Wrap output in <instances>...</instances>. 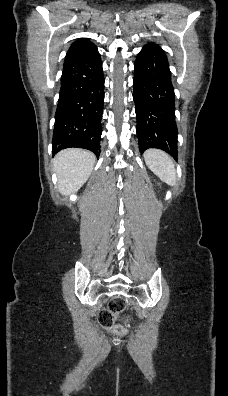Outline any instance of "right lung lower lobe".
Masks as SVG:
<instances>
[{
	"label": "right lung lower lobe",
	"mask_w": 228,
	"mask_h": 396,
	"mask_svg": "<svg viewBox=\"0 0 228 396\" xmlns=\"http://www.w3.org/2000/svg\"><path fill=\"white\" fill-rule=\"evenodd\" d=\"M104 76L95 45L66 56L55 114L53 154L78 147L100 154Z\"/></svg>",
	"instance_id": "98d812e1"
}]
</instances>
